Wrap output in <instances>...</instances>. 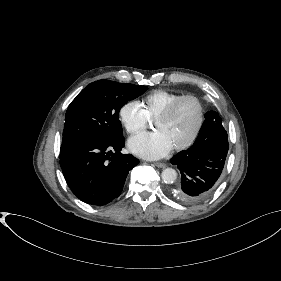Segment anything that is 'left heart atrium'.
<instances>
[{
    "mask_svg": "<svg viewBox=\"0 0 281 281\" xmlns=\"http://www.w3.org/2000/svg\"><path fill=\"white\" fill-rule=\"evenodd\" d=\"M128 147L135 155L156 160L165 157L172 150V145L161 132L141 133L132 137Z\"/></svg>",
    "mask_w": 281,
    "mask_h": 281,
    "instance_id": "obj_1",
    "label": "left heart atrium"
}]
</instances>
